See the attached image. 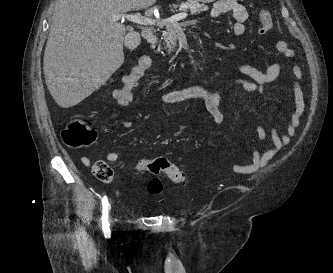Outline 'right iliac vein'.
I'll list each match as a JSON object with an SVG mask.
<instances>
[{
	"label": "right iliac vein",
	"instance_id": "63e3f726",
	"mask_svg": "<svg viewBox=\"0 0 333 273\" xmlns=\"http://www.w3.org/2000/svg\"><path fill=\"white\" fill-rule=\"evenodd\" d=\"M110 222H111L112 225H114V218H113L112 215L110 216Z\"/></svg>",
	"mask_w": 333,
	"mask_h": 273
}]
</instances>
